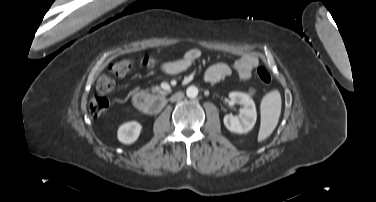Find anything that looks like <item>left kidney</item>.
<instances>
[{"label":"left kidney","mask_w":376,"mask_h":202,"mask_svg":"<svg viewBox=\"0 0 376 202\" xmlns=\"http://www.w3.org/2000/svg\"><path fill=\"white\" fill-rule=\"evenodd\" d=\"M230 102L239 103L243 106L238 116L225 115L224 125L234 133L249 132L255 125L257 119L256 107L253 99L246 93L231 92L229 94Z\"/></svg>","instance_id":"5707ae66"}]
</instances>
